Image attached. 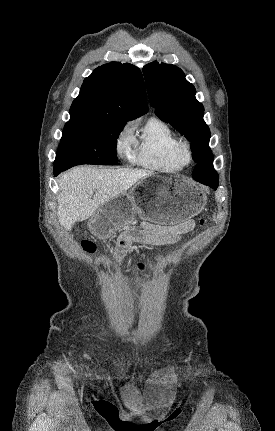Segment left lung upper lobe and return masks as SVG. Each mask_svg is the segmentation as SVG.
<instances>
[{"instance_id":"left-lung-upper-lobe-1","label":"left lung upper lobe","mask_w":275,"mask_h":431,"mask_svg":"<svg viewBox=\"0 0 275 431\" xmlns=\"http://www.w3.org/2000/svg\"><path fill=\"white\" fill-rule=\"evenodd\" d=\"M143 74L156 115L191 142L192 158L197 163L193 174L212 173L219 183L209 148L210 131L203 120L204 107L195 98L194 86L180 68L171 64L154 61L144 66Z\"/></svg>"}]
</instances>
